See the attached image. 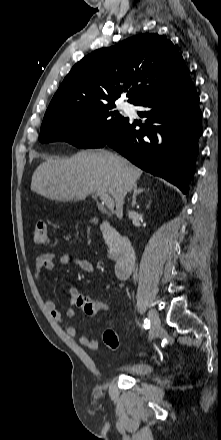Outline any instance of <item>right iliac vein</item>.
<instances>
[{"mask_svg":"<svg viewBox=\"0 0 221 440\" xmlns=\"http://www.w3.org/2000/svg\"><path fill=\"white\" fill-rule=\"evenodd\" d=\"M148 318L151 323V329L149 332V340H153L158 336L160 330V318L158 313L154 309H150L148 312Z\"/></svg>","mask_w":221,"mask_h":440,"instance_id":"right-iliac-vein-1","label":"right iliac vein"}]
</instances>
